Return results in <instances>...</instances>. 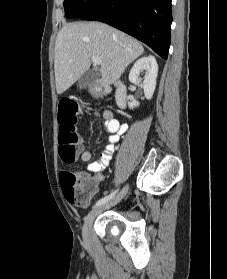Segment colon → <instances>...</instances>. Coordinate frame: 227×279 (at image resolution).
Returning <instances> with one entry per match:
<instances>
[{"mask_svg":"<svg viewBox=\"0 0 227 279\" xmlns=\"http://www.w3.org/2000/svg\"><path fill=\"white\" fill-rule=\"evenodd\" d=\"M89 111L90 107L80 108L78 104L71 100H63L59 104L58 122V148L60 159L71 164L76 159L80 151L79 137L75 131V124L80 111ZM64 192L68 196H73L78 205L88 202L95 193V181L84 179L74 172H64L61 175Z\"/></svg>","mask_w":227,"mask_h":279,"instance_id":"5ec220e1","label":"colon"}]
</instances>
